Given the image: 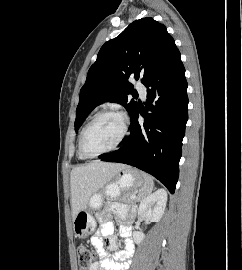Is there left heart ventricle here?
Here are the masks:
<instances>
[{
	"mask_svg": "<svg viewBox=\"0 0 242 270\" xmlns=\"http://www.w3.org/2000/svg\"><path fill=\"white\" fill-rule=\"evenodd\" d=\"M122 133V120L115 115L98 119L86 134L84 147L88 153H98L114 145Z\"/></svg>",
	"mask_w": 242,
	"mask_h": 270,
	"instance_id": "obj_1",
	"label": "left heart ventricle"
}]
</instances>
